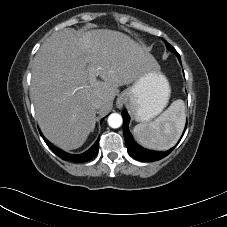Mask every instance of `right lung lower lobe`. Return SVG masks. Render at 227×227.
<instances>
[{
	"label": "right lung lower lobe",
	"mask_w": 227,
	"mask_h": 227,
	"mask_svg": "<svg viewBox=\"0 0 227 227\" xmlns=\"http://www.w3.org/2000/svg\"><path fill=\"white\" fill-rule=\"evenodd\" d=\"M41 136L43 137V139L46 142V144L48 145V147L57 156H59L60 158H62L63 160H66V161L77 162V163L86 162V161H89L90 159H92L93 157H95L98 153L99 138L94 143V145L89 150H87L86 152L79 154V155H73V154L66 153V152L54 147L48 140H46L44 138V136L42 134H41Z\"/></svg>",
	"instance_id": "obj_1"
}]
</instances>
